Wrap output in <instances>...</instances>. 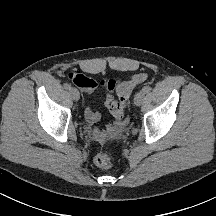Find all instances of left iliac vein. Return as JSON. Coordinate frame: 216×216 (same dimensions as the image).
Segmentation results:
<instances>
[{
	"mask_svg": "<svg viewBox=\"0 0 216 216\" xmlns=\"http://www.w3.org/2000/svg\"><path fill=\"white\" fill-rule=\"evenodd\" d=\"M144 95H145V93H144L143 91H139V92L135 95V97H134V104H135L136 106H140V105H141V103H142V101H143V98H144Z\"/></svg>",
	"mask_w": 216,
	"mask_h": 216,
	"instance_id": "obj_1",
	"label": "left iliac vein"
}]
</instances>
